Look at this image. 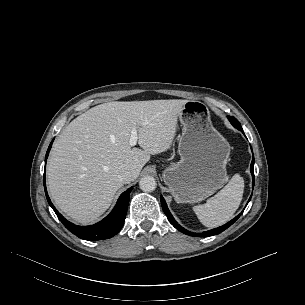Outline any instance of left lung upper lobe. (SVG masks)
Listing matches in <instances>:
<instances>
[{
	"label": "left lung upper lobe",
	"instance_id": "left-lung-upper-lobe-1",
	"mask_svg": "<svg viewBox=\"0 0 305 305\" xmlns=\"http://www.w3.org/2000/svg\"><path fill=\"white\" fill-rule=\"evenodd\" d=\"M228 119L234 127L239 129L240 131L242 130L241 124L238 122V120L235 117L229 116Z\"/></svg>",
	"mask_w": 305,
	"mask_h": 305
}]
</instances>
